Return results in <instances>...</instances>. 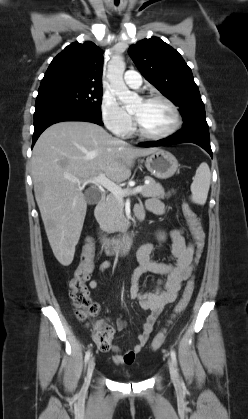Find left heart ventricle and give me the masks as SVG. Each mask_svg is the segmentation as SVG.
Returning <instances> with one entry per match:
<instances>
[{
    "label": "left heart ventricle",
    "mask_w": 248,
    "mask_h": 419,
    "mask_svg": "<svg viewBox=\"0 0 248 419\" xmlns=\"http://www.w3.org/2000/svg\"><path fill=\"white\" fill-rule=\"evenodd\" d=\"M141 127L148 133L159 134L168 130L174 121L170 108L161 101L140 100L132 109Z\"/></svg>",
    "instance_id": "obj_1"
}]
</instances>
